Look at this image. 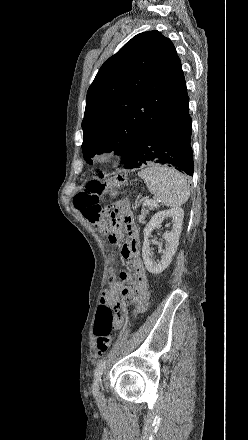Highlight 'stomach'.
I'll return each mask as SVG.
<instances>
[{"instance_id":"0dacf381","label":"stomach","mask_w":248,"mask_h":440,"mask_svg":"<svg viewBox=\"0 0 248 440\" xmlns=\"http://www.w3.org/2000/svg\"><path fill=\"white\" fill-rule=\"evenodd\" d=\"M117 195H118V192L116 190L112 189L109 191V196L111 198H115Z\"/></svg>"}]
</instances>
